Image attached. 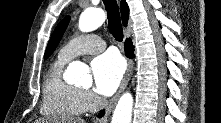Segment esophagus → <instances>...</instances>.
<instances>
[{"mask_svg":"<svg viewBox=\"0 0 221 123\" xmlns=\"http://www.w3.org/2000/svg\"><path fill=\"white\" fill-rule=\"evenodd\" d=\"M133 64L134 63H133L132 59H128L127 69H126V72H125L124 77L122 79V82L120 84V87H119L118 91L116 92V94L113 96V98L110 100L109 104L107 105L105 115L102 118L97 119L96 123H98V122L99 123H106L107 122L110 113L112 112L121 93L125 90L128 82L130 80V77H131L132 71H133Z\"/></svg>","mask_w":221,"mask_h":123,"instance_id":"34e87169","label":"esophagus"}]
</instances>
